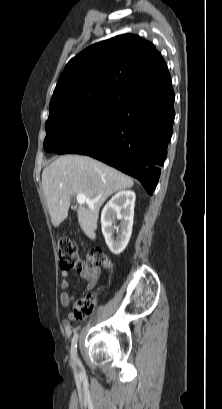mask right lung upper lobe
<instances>
[{
  "label": "right lung upper lobe",
  "instance_id": "cb5924a9",
  "mask_svg": "<svg viewBox=\"0 0 222 409\" xmlns=\"http://www.w3.org/2000/svg\"><path fill=\"white\" fill-rule=\"evenodd\" d=\"M167 65L154 45L124 34L89 46L72 58L54 90L49 113L77 104L126 101L166 93Z\"/></svg>",
  "mask_w": 222,
  "mask_h": 409
}]
</instances>
